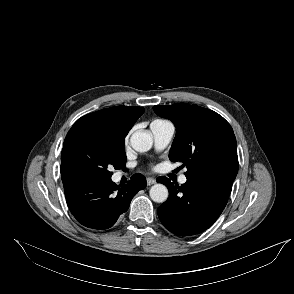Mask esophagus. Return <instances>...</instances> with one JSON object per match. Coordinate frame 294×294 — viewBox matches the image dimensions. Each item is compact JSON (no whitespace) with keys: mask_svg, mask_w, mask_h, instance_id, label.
Segmentation results:
<instances>
[{"mask_svg":"<svg viewBox=\"0 0 294 294\" xmlns=\"http://www.w3.org/2000/svg\"><path fill=\"white\" fill-rule=\"evenodd\" d=\"M155 183H156V180L154 178H152V177L147 178V185L148 186H151V185H153Z\"/></svg>","mask_w":294,"mask_h":294,"instance_id":"34e87169","label":"esophagus"}]
</instances>
